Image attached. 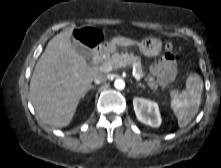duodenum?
<instances>
[{
  "label": "duodenum",
  "mask_w": 221,
  "mask_h": 168,
  "mask_svg": "<svg viewBox=\"0 0 221 168\" xmlns=\"http://www.w3.org/2000/svg\"><path fill=\"white\" fill-rule=\"evenodd\" d=\"M105 54V48L102 45L97 46L92 52V62L97 64Z\"/></svg>",
  "instance_id": "duodenum-1"
}]
</instances>
